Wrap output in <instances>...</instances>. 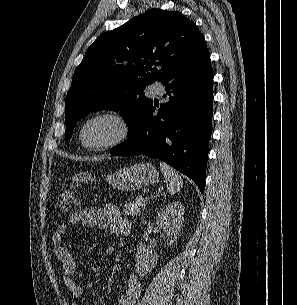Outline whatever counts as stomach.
<instances>
[{"mask_svg":"<svg viewBox=\"0 0 297 305\" xmlns=\"http://www.w3.org/2000/svg\"><path fill=\"white\" fill-rule=\"evenodd\" d=\"M107 182L121 191H134L159 181V173L149 163L135 164L108 174Z\"/></svg>","mask_w":297,"mask_h":305,"instance_id":"0dacf381","label":"stomach"}]
</instances>
